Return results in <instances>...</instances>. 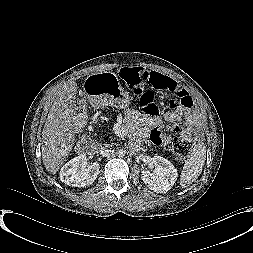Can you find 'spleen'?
<instances>
[{
	"instance_id": "3e777b00",
	"label": "spleen",
	"mask_w": 253,
	"mask_h": 253,
	"mask_svg": "<svg viewBox=\"0 0 253 253\" xmlns=\"http://www.w3.org/2000/svg\"><path fill=\"white\" fill-rule=\"evenodd\" d=\"M206 159V147L204 144H197L193 147L190 156L185 161L180 183L182 187L192 183L201 173Z\"/></svg>"
}]
</instances>
